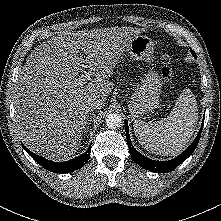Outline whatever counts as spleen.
<instances>
[{
	"label": "spleen",
	"mask_w": 221,
	"mask_h": 221,
	"mask_svg": "<svg viewBox=\"0 0 221 221\" xmlns=\"http://www.w3.org/2000/svg\"><path fill=\"white\" fill-rule=\"evenodd\" d=\"M198 120V105L190 89H184L167 118L157 122L134 121L139 143L151 153L176 155L187 146Z\"/></svg>",
	"instance_id": "spleen-1"
}]
</instances>
